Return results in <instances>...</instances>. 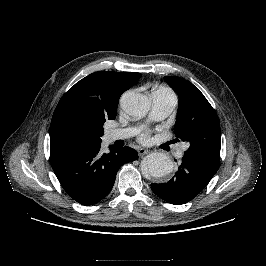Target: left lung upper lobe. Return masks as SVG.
Listing matches in <instances>:
<instances>
[{
  "label": "left lung upper lobe",
  "mask_w": 266,
  "mask_h": 266,
  "mask_svg": "<svg viewBox=\"0 0 266 266\" xmlns=\"http://www.w3.org/2000/svg\"><path fill=\"white\" fill-rule=\"evenodd\" d=\"M165 81L179 94L174 132L177 138L190 144L184 158L217 172L220 164L221 131L215 110L189 81L175 76H165Z\"/></svg>",
  "instance_id": "5c2ea615"
}]
</instances>
